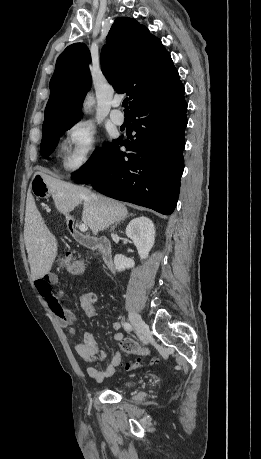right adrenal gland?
Masks as SVG:
<instances>
[{"label": "right adrenal gland", "instance_id": "right-adrenal-gland-1", "mask_svg": "<svg viewBox=\"0 0 261 459\" xmlns=\"http://www.w3.org/2000/svg\"><path fill=\"white\" fill-rule=\"evenodd\" d=\"M129 216H133V214L131 213V214H129ZM119 223H120V221H119V222H116V223L112 226V230H114V229L117 227V225H118Z\"/></svg>", "mask_w": 261, "mask_h": 459}]
</instances>
